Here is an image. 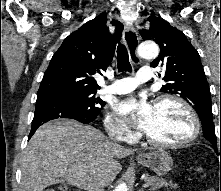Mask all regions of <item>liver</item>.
Listing matches in <instances>:
<instances>
[{
	"label": "liver",
	"instance_id": "obj_1",
	"mask_svg": "<svg viewBox=\"0 0 221 191\" xmlns=\"http://www.w3.org/2000/svg\"><path fill=\"white\" fill-rule=\"evenodd\" d=\"M134 152L92 126L69 119L50 121L37 129L24 151L21 191H43L63 181L82 189L100 180L107 186L122 169L116 159Z\"/></svg>",
	"mask_w": 221,
	"mask_h": 191
}]
</instances>
